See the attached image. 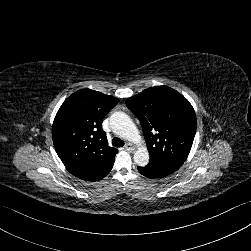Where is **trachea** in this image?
Instances as JSON below:
<instances>
[{
	"instance_id": "1",
	"label": "trachea",
	"mask_w": 251,
	"mask_h": 251,
	"mask_svg": "<svg viewBox=\"0 0 251 251\" xmlns=\"http://www.w3.org/2000/svg\"><path fill=\"white\" fill-rule=\"evenodd\" d=\"M112 144H113V146H116V147H123L124 146V141L117 138V137H114L112 139Z\"/></svg>"
}]
</instances>
